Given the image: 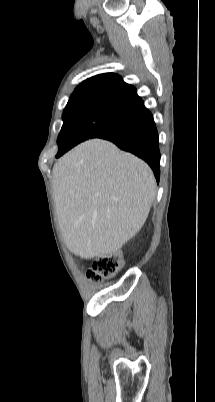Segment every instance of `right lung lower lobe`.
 <instances>
[{
    "mask_svg": "<svg viewBox=\"0 0 215 402\" xmlns=\"http://www.w3.org/2000/svg\"><path fill=\"white\" fill-rule=\"evenodd\" d=\"M120 149L143 159L152 168L157 182L160 175V151L158 133L152 114L144 110L118 133L104 138Z\"/></svg>",
    "mask_w": 215,
    "mask_h": 402,
    "instance_id": "obj_1",
    "label": "right lung lower lobe"
}]
</instances>
